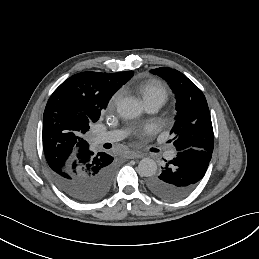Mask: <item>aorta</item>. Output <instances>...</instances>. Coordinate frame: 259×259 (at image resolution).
Masks as SVG:
<instances>
[{
  "mask_svg": "<svg viewBox=\"0 0 259 259\" xmlns=\"http://www.w3.org/2000/svg\"><path fill=\"white\" fill-rule=\"evenodd\" d=\"M141 102L132 97L121 99L117 104V112L126 119H133L142 113ZM157 172V164L151 158H143L138 164V173L140 176L152 177Z\"/></svg>",
  "mask_w": 259,
  "mask_h": 259,
  "instance_id": "1",
  "label": "aorta"
}]
</instances>
